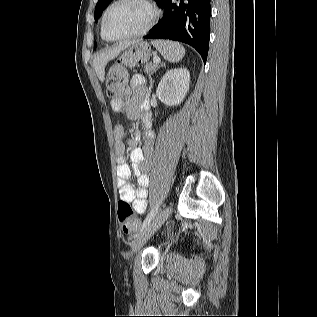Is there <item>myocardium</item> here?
I'll return each instance as SVG.
<instances>
[{"mask_svg":"<svg viewBox=\"0 0 317 317\" xmlns=\"http://www.w3.org/2000/svg\"><path fill=\"white\" fill-rule=\"evenodd\" d=\"M124 0H115L113 1L110 6L105 10L103 17H102V21H101V35L103 37L104 40L109 41V42H120V41H124V40H128V39H132V38H136L139 36H142L144 34H146L148 31L151 30V28L155 25L158 17H159V10L156 7V5L152 2V0H137L141 3H143L150 12V17L149 20L147 21L146 25L136 31L133 32L131 34L122 36V37H118V38H110L107 36L106 34V30H105V23H106V19L108 14L110 13V11L119 3L123 2Z\"/></svg>","mask_w":317,"mask_h":317,"instance_id":"1","label":"myocardium"}]
</instances>
